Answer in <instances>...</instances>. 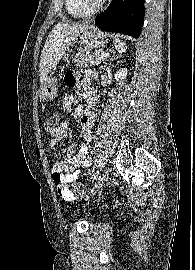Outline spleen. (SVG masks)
<instances>
[{
	"label": "spleen",
	"mask_w": 195,
	"mask_h": 270,
	"mask_svg": "<svg viewBox=\"0 0 195 270\" xmlns=\"http://www.w3.org/2000/svg\"><path fill=\"white\" fill-rule=\"evenodd\" d=\"M113 43H114L115 48H116L120 53L125 52V50H126V48H127L125 42H123L122 40H120L118 37H115Z\"/></svg>",
	"instance_id": "3e777b00"
}]
</instances>
